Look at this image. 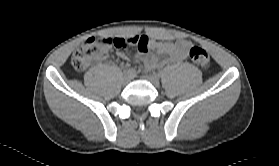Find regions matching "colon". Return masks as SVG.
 I'll list each match as a JSON object with an SVG mask.
<instances>
[{"label": "colon", "mask_w": 279, "mask_h": 166, "mask_svg": "<svg viewBox=\"0 0 279 166\" xmlns=\"http://www.w3.org/2000/svg\"><path fill=\"white\" fill-rule=\"evenodd\" d=\"M137 40L128 39H95L90 38L83 43L72 56V65L77 71H83L89 67V65L103 57H105L111 48H125L131 43H136ZM192 62L202 68L206 69L210 64V56L208 52L201 47H192L189 52Z\"/></svg>", "instance_id": "obj_1"}]
</instances>
